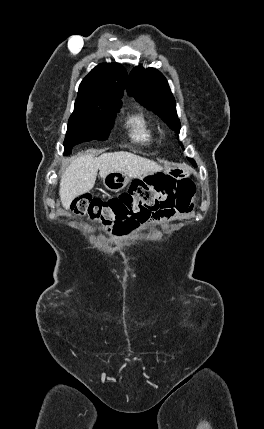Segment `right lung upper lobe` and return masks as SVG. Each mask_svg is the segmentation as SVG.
Listing matches in <instances>:
<instances>
[{
    "label": "right lung upper lobe",
    "instance_id": "obj_1",
    "mask_svg": "<svg viewBox=\"0 0 264 429\" xmlns=\"http://www.w3.org/2000/svg\"><path fill=\"white\" fill-rule=\"evenodd\" d=\"M126 76L120 64H100L81 82L76 101L121 104Z\"/></svg>",
    "mask_w": 264,
    "mask_h": 429
}]
</instances>
